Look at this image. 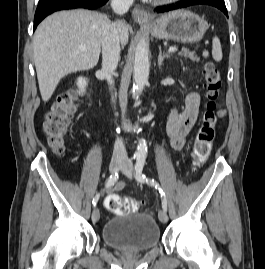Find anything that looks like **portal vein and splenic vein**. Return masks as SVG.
I'll return each mask as SVG.
<instances>
[{
	"instance_id": "1",
	"label": "portal vein and splenic vein",
	"mask_w": 265,
	"mask_h": 269,
	"mask_svg": "<svg viewBox=\"0 0 265 269\" xmlns=\"http://www.w3.org/2000/svg\"><path fill=\"white\" fill-rule=\"evenodd\" d=\"M168 51H169V53H173V52L177 51V48L176 47H170Z\"/></svg>"
}]
</instances>
